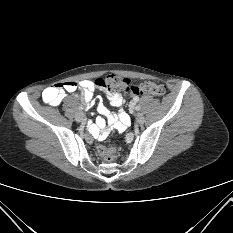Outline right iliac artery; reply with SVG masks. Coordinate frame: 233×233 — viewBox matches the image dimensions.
<instances>
[{"label":"right iliac artery","mask_w":233,"mask_h":233,"mask_svg":"<svg viewBox=\"0 0 233 233\" xmlns=\"http://www.w3.org/2000/svg\"><path fill=\"white\" fill-rule=\"evenodd\" d=\"M80 110H83V107H80Z\"/></svg>","instance_id":"right-iliac-artery-1"}]
</instances>
